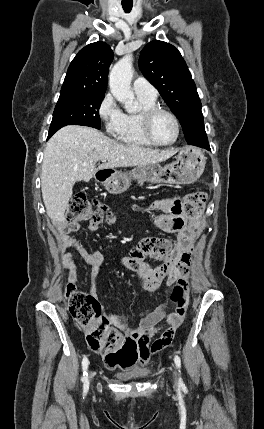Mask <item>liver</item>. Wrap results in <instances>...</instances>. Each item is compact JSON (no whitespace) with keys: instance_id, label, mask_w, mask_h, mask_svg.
Listing matches in <instances>:
<instances>
[{"instance_id":"1","label":"liver","mask_w":264,"mask_h":429,"mask_svg":"<svg viewBox=\"0 0 264 429\" xmlns=\"http://www.w3.org/2000/svg\"><path fill=\"white\" fill-rule=\"evenodd\" d=\"M176 152L121 144L91 127L65 126L50 138L44 152L41 190L47 215L53 223H63L75 182H88L98 170L154 164ZM100 160L103 164L96 168Z\"/></svg>"}]
</instances>
